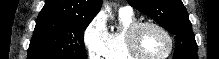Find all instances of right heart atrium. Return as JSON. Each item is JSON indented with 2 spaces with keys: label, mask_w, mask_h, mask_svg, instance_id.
Returning a JSON list of instances; mask_svg holds the SVG:
<instances>
[{
  "label": "right heart atrium",
  "mask_w": 219,
  "mask_h": 59,
  "mask_svg": "<svg viewBox=\"0 0 219 59\" xmlns=\"http://www.w3.org/2000/svg\"><path fill=\"white\" fill-rule=\"evenodd\" d=\"M109 32L101 16H96L83 34V43L92 59L102 57L108 42Z\"/></svg>",
  "instance_id": "obj_1"
}]
</instances>
